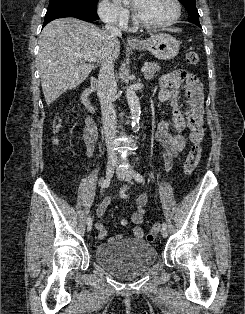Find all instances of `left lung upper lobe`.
<instances>
[{"instance_id": "1", "label": "left lung upper lobe", "mask_w": 245, "mask_h": 314, "mask_svg": "<svg viewBox=\"0 0 245 314\" xmlns=\"http://www.w3.org/2000/svg\"><path fill=\"white\" fill-rule=\"evenodd\" d=\"M179 1L183 4L188 14L190 15L188 21L201 27L199 22V13L196 8V0H179Z\"/></svg>"}]
</instances>
